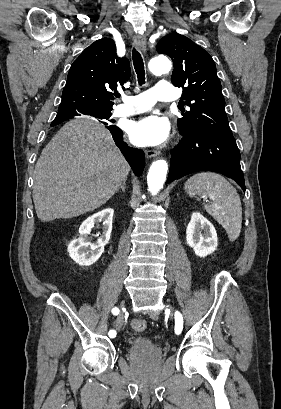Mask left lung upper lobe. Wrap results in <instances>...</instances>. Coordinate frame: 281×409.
Returning a JSON list of instances; mask_svg holds the SVG:
<instances>
[{
  "mask_svg": "<svg viewBox=\"0 0 281 409\" xmlns=\"http://www.w3.org/2000/svg\"><path fill=\"white\" fill-rule=\"evenodd\" d=\"M157 50L171 57L174 70L171 81L183 88L180 102L190 107L179 118L181 135L199 129L232 135L225 112V100L215 63L203 48L180 34H169L158 43Z\"/></svg>",
  "mask_w": 281,
  "mask_h": 409,
  "instance_id": "1",
  "label": "left lung upper lobe"
}]
</instances>
